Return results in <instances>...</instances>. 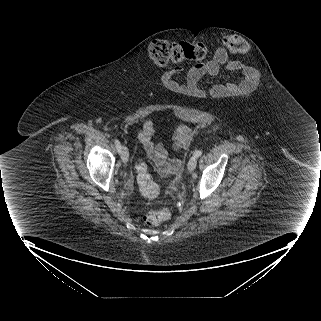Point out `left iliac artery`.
<instances>
[{"label":"left iliac artery","mask_w":321,"mask_h":321,"mask_svg":"<svg viewBox=\"0 0 321 321\" xmlns=\"http://www.w3.org/2000/svg\"><path fill=\"white\" fill-rule=\"evenodd\" d=\"M201 155H202V151L201 150H198V151L194 152V156H196V157H199Z\"/></svg>","instance_id":"1"}]
</instances>
